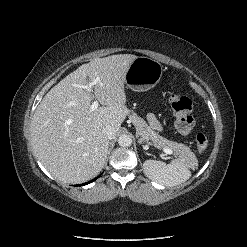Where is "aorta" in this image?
Wrapping results in <instances>:
<instances>
[{"label": "aorta", "mask_w": 247, "mask_h": 247, "mask_svg": "<svg viewBox=\"0 0 247 247\" xmlns=\"http://www.w3.org/2000/svg\"><path fill=\"white\" fill-rule=\"evenodd\" d=\"M118 144L121 147H129L132 144V138L130 135L128 134H122L120 135L119 139H118Z\"/></svg>", "instance_id": "aorta-1"}]
</instances>
